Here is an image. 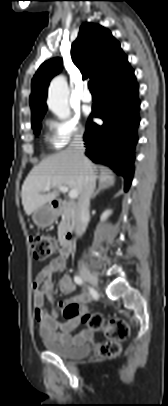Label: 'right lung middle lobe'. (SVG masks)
Returning a JSON list of instances; mask_svg holds the SVG:
<instances>
[{
  "instance_id": "1",
  "label": "right lung middle lobe",
  "mask_w": 168,
  "mask_h": 406,
  "mask_svg": "<svg viewBox=\"0 0 168 406\" xmlns=\"http://www.w3.org/2000/svg\"><path fill=\"white\" fill-rule=\"evenodd\" d=\"M40 121H41V120H40ZM40 121H37V122H35V123L32 124V128H35L34 133H35L36 135H38L39 132H40V128H41V125H39V122H40Z\"/></svg>"
}]
</instances>
